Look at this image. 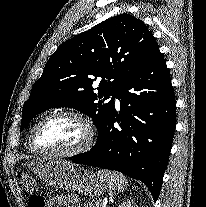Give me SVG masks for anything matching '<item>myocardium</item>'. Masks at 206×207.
<instances>
[{
    "mask_svg": "<svg viewBox=\"0 0 206 207\" xmlns=\"http://www.w3.org/2000/svg\"><path fill=\"white\" fill-rule=\"evenodd\" d=\"M61 116L73 117L79 120L85 126L86 131H87V137L84 143L71 150H52V149H46V148L39 146L35 140V134H36L38 127L43 122L51 118L61 117ZM95 136H96L95 128L88 117L74 110H59V111H54L52 113L45 115L44 117H42L40 120L36 122V124L31 129V132L29 135V144L31 148L37 153L52 155V156L72 157V156L83 154L87 152L88 150H90L94 144Z\"/></svg>",
    "mask_w": 206,
    "mask_h": 207,
    "instance_id": "obj_1",
    "label": "myocardium"
}]
</instances>
